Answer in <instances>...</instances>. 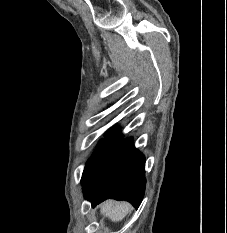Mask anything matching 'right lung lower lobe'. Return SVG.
I'll list each match as a JSON object with an SVG mask.
<instances>
[{"instance_id":"1","label":"right lung lower lobe","mask_w":227,"mask_h":233,"mask_svg":"<svg viewBox=\"0 0 227 233\" xmlns=\"http://www.w3.org/2000/svg\"><path fill=\"white\" fill-rule=\"evenodd\" d=\"M112 145L82 181L85 198L95 207L112 198L138 208L145 191V157L126 138Z\"/></svg>"}]
</instances>
